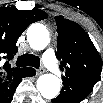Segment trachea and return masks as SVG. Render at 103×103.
Returning a JSON list of instances; mask_svg holds the SVG:
<instances>
[{
    "instance_id": "1",
    "label": "trachea",
    "mask_w": 103,
    "mask_h": 103,
    "mask_svg": "<svg viewBox=\"0 0 103 103\" xmlns=\"http://www.w3.org/2000/svg\"><path fill=\"white\" fill-rule=\"evenodd\" d=\"M16 65L18 67H24V66H32L35 68H39L40 66V59L37 56H34L32 54H24L20 57H18Z\"/></svg>"
}]
</instances>
